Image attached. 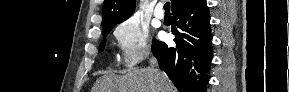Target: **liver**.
Here are the masks:
<instances>
[{"label": "liver", "mask_w": 289, "mask_h": 92, "mask_svg": "<svg viewBox=\"0 0 289 92\" xmlns=\"http://www.w3.org/2000/svg\"><path fill=\"white\" fill-rule=\"evenodd\" d=\"M92 92H176V88L163 72L158 78L154 69L140 68L125 75L105 74Z\"/></svg>", "instance_id": "liver-1"}]
</instances>
